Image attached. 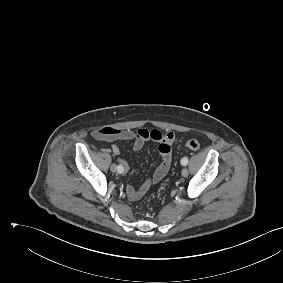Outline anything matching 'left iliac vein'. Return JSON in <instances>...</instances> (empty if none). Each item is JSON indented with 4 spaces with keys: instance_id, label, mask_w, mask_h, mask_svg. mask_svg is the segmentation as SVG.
Masks as SVG:
<instances>
[{
    "instance_id": "4c4485c4",
    "label": "left iliac vein",
    "mask_w": 283,
    "mask_h": 283,
    "mask_svg": "<svg viewBox=\"0 0 283 283\" xmlns=\"http://www.w3.org/2000/svg\"><path fill=\"white\" fill-rule=\"evenodd\" d=\"M181 174H182L183 177H187L188 174H189L188 169H186V168L182 169Z\"/></svg>"
}]
</instances>
